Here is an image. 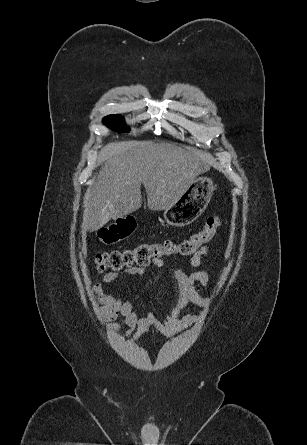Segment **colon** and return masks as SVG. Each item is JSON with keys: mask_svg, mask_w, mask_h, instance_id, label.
Instances as JSON below:
<instances>
[{"mask_svg": "<svg viewBox=\"0 0 307 445\" xmlns=\"http://www.w3.org/2000/svg\"><path fill=\"white\" fill-rule=\"evenodd\" d=\"M220 226V216H211L206 219L200 230L181 241L167 239L157 243H140L129 249L101 252L95 256V265L98 271L107 269L120 271L148 265L151 261L160 257L194 255L215 236ZM135 230V219L126 216L101 228L98 237L103 244L112 245L130 237Z\"/></svg>", "mask_w": 307, "mask_h": 445, "instance_id": "1", "label": "colon"}]
</instances>
